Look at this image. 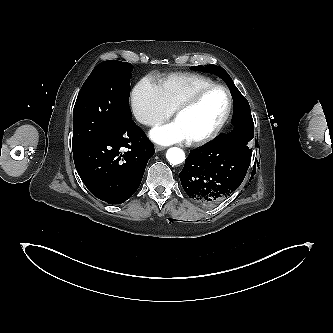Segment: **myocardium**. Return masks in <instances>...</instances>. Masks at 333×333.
Segmentation results:
<instances>
[{
    "instance_id": "obj_1",
    "label": "myocardium",
    "mask_w": 333,
    "mask_h": 333,
    "mask_svg": "<svg viewBox=\"0 0 333 333\" xmlns=\"http://www.w3.org/2000/svg\"><path fill=\"white\" fill-rule=\"evenodd\" d=\"M214 89H222L225 91L228 99L226 112L222 117L221 121L209 133L198 138L188 139V142L193 146H201L211 142L222 132V130L228 123L233 111V104H234L233 96L230 89L227 86L218 83L207 85L196 91L193 95H191L181 104H179L177 108L174 110V118L176 119L181 113L197 105L208 92Z\"/></svg>"
}]
</instances>
